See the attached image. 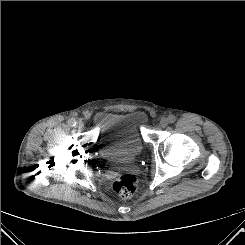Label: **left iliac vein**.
<instances>
[{
	"label": "left iliac vein",
	"instance_id": "obj_1",
	"mask_svg": "<svg viewBox=\"0 0 245 245\" xmlns=\"http://www.w3.org/2000/svg\"><path fill=\"white\" fill-rule=\"evenodd\" d=\"M168 123H169V120L167 118H161V120L159 122L160 126L163 128L166 127L168 125Z\"/></svg>",
	"mask_w": 245,
	"mask_h": 245
}]
</instances>
